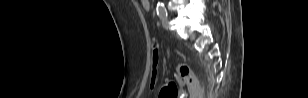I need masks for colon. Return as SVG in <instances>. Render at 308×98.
<instances>
[{"label":"colon","mask_w":308,"mask_h":98,"mask_svg":"<svg viewBox=\"0 0 308 98\" xmlns=\"http://www.w3.org/2000/svg\"><path fill=\"white\" fill-rule=\"evenodd\" d=\"M159 65V52L156 47L152 52V74H151V88L156 87L157 81V68ZM178 75L186 84L191 98H202L203 90L196 78L191 67L185 63H181L177 66ZM178 94L177 86L172 81H166L160 88L159 98H176Z\"/></svg>","instance_id":"obj_1"}]
</instances>
